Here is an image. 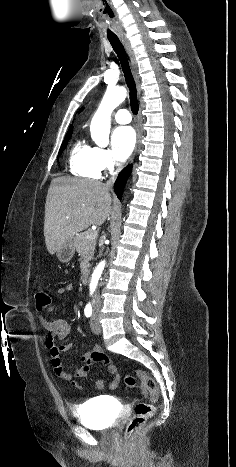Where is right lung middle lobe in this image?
<instances>
[{
  "label": "right lung middle lobe",
  "instance_id": "1",
  "mask_svg": "<svg viewBox=\"0 0 236 467\" xmlns=\"http://www.w3.org/2000/svg\"><path fill=\"white\" fill-rule=\"evenodd\" d=\"M70 137H71V133H69V134H67V135L65 136V139H64V141H63V143H62V145H61V148H60L59 155H60L61 151L64 150V148L66 147L67 142H68V140L70 139Z\"/></svg>",
  "mask_w": 236,
  "mask_h": 467
}]
</instances>
